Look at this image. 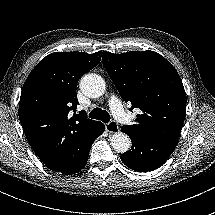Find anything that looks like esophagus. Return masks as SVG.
I'll list each match as a JSON object with an SVG mask.
<instances>
[{
  "label": "esophagus",
  "instance_id": "obj_1",
  "mask_svg": "<svg viewBox=\"0 0 215 215\" xmlns=\"http://www.w3.org/2000/svg\"><path fill=\"white\" fill-rule=\"evenodd\" d=\"M105 129L109 133H118V132H120L119 125L115 120H111L110 122L105 123Z\"/></svg>",
  "mask_w": 215,
  "mask_h": 215
}]
</instances>
